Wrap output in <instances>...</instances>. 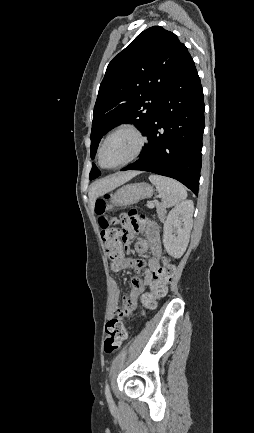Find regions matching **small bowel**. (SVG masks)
<instances>
[{"instance_id": "c3829d8e", "label": "small bowel", "mask_w": 254, "mask_h": 433, "mask_svg": "<svg viewBox=\"0 0 254 433\" xmlns=\"http://www.w3.org/2000/svg\"><path fill=\"white\" fill-rule=\"evenodd\" d=\"M123 222L129 235H133L135 232L141 230V226H132L125 220V218H123ZM142 230L145 232L147 239L138 241L135 245V250L139 255L147 256V265H145L140 259L132 256H123L119 261L112 263V265L115 272L124 270L128 267L141 271L143 278L140 279L134 277L131 280V290L123 305H119L120 290L118 283L116 281L111 282V301L107 312L109 318L122 316L123 314L134 310L138 304L139 298L145 290V287L149 286L150 289H152L155 284V272L160 267V260L162 257L160 234L158 227L154 224H150Z\"/></svg>"}]
</instances>
